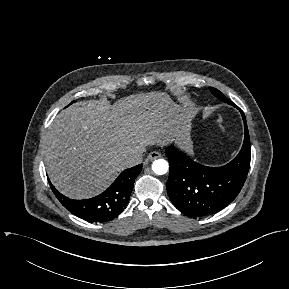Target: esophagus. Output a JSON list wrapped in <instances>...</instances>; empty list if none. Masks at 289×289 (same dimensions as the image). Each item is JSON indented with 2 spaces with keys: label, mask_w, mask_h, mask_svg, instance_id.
Segmentation results:
<instances>
[{
  "label": "esophagus",
  "mask_w": 289,
  "mask_h": 289,
  "mask_svg": "<svg viewBox=\"0 0 289 289\" xmlns=\"http://www.w3.org/2000/svg\"><path fill=\"white\" fill-rule=\"evenodd\" d=\"M161 157V153L157 152V151H153L148 155V160H155L157 158Z\"/></svg>",
  "instance_id": "1"
}]
</instances>
